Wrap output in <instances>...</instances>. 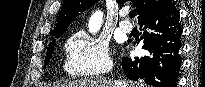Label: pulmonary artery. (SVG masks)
Returning a JSON list of instances; mask_svg holds the SVG:
<instances>
[{"label": "pulmonary artery", "mask_w": 205, "mask_h": 87, "mask_svg": "<svg viewBox=\"0 0 205 87\" xmlns=\"http://www.w3.org/2000/svg\"><path fill=\"white\" fill-rule=\"evenodd\" d=\"M121 17H126V11L121 12ZM119 27L125 33H129L133 29V25L129 21H126V20L121 21L119 24Z\"/></svg>", "instance_id": "e3ab8cb5"}]
</instances>
